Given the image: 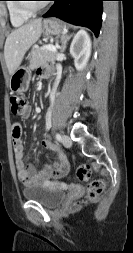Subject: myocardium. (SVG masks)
Returning <instances> with one entry per match:
<instances>
[{"label":"myocardium","instance_id":"f54148a6","mask_svg":"<svg viewBox=\"0 0 133 253\" xmlns=\"http://www.w3.org/2000/svg\"><path fill=\"white\" fill-rule=\"evenodd\" d=\"M21 2H18V6L20 10L26 14L34 15L41 10H43L46 7V3H41L40 5L33 6L31 3H27L25 1L27 0H20Z\"/></svg>","mask_w":133,"mask_h":253}]
</instances>
